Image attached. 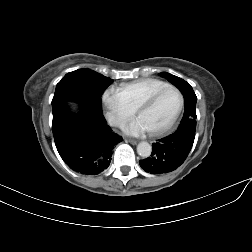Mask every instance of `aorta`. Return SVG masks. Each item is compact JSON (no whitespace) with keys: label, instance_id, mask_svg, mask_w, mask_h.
Listing matches in <instances>:
<instances>
[{"label":"aorta","instance_id":"aorta-1","mask_svg":"<svg viewBox=\"0 0 252 252\" xmlns=\"http://www.w3.org/2000/svg\"><path fill=\"white\" fill-rule=\"evenodd\" d=\"M152 152V147L148 142H140L137 145V153L143 157L147 158L151 155Z\"/></svg>","mask_w":252,"mask_h":252}]
</instances>
